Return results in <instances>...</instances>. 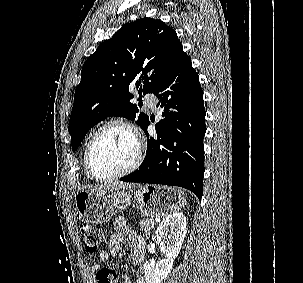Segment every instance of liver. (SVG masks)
Wrapping results in <instances>:
<instances>
[{
    "label": "liver",
    "instance_id": "liver-1",
    "mask_svg": "<svg viewBox=\"0 0 303 283\" xmlns=\"http://www.w3.org/2000/svg\"><path fill=\"white\" fill-rule=\"evenodd\" d=\"M132 184L124 183V182H108L101 185L95 186H84L80 188V191H85L90 194L100 195L109 192H113L120 189L131 188Z\"/></svg>",
    "mask_w": 303,
    "mask_h": 283
}]
</instances>
